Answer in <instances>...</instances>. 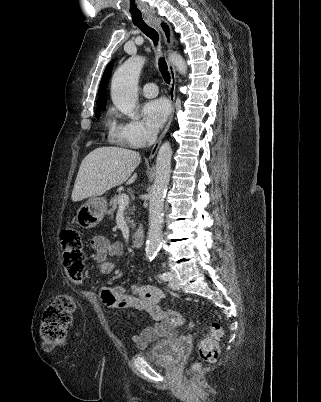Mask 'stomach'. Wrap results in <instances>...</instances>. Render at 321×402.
I'll list each match as a JSON object with an SVG mask.
<instances>
[{"mask_svg":"<svg viewBox=\"0 0 321 402\" xmlns=\"http://www.w3.org/2000/svg\"><path fill=\"white\" fill-rule=\"evenodd\" d=\"M107 212V200L101 196L90 197L82 204L76 213V223L82 228H92L98 225Z\"/></svg>","mask_w":321,"mask_h":402,"instance_id":"0dacf381","label":"stomach"}]
</instances>
